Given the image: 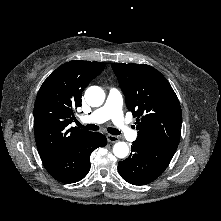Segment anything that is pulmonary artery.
Wrapping results in <instances>:
<instances>
[{
  "mask_svg": "<svg viewBox=\"0 0 221 221\" xmlns=\"http://www.w3.org/2000/svg\"><path fill=\"white\" fill-rule=\"evenodd\" d=\"M122 97L116 88L109 90L105 104L82 118L86 123H103L111 119L116 128L129 140H135L137 133L127 124L122 113Z\"/></svg>",
  "mask_w": 221,
  "mask_h": 221,
  "instance_id": "1",
  "label": "pulmonary artery"
}]
</instances>
